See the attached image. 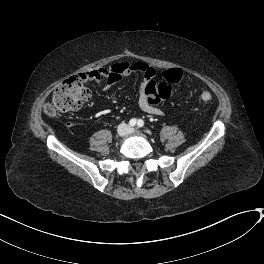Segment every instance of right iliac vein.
<instances>
[{
    "label": "right iliac vein",
    "mask_w": 264,
    "mask_h": 264,
    "mask_svg": "<svg viewBox=\"0 0 264 264\" xmlns=\"http://www.w3.org/2000/svg\"><path fill=\"white\" fill-rule=\"evenodd\" d=\"M129 132V128L126 126V125H121L119 128H118V135L120 137H124L125 135H127Z\"/></svg>",
    "instance_id": "63e3f726"
}]
</instances>
